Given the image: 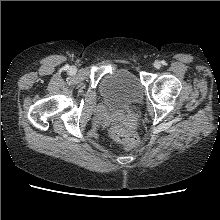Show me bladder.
<instances>
[{"instance_id":"obj_1","label":"bladder","mask_w":220,"mask_h":220,"mask_svg":"<svg viewBox=\"0 0 220 220\" xmlns=\"http://www.w3.org/2000/svg\"><path fill=\"white\" fill-rule=\"evenodd\" d=\"M100 93L115 112L125 113L142 99L143 88L132 72L119 69L101 80Z\"/></svg>"}]
</instances>
